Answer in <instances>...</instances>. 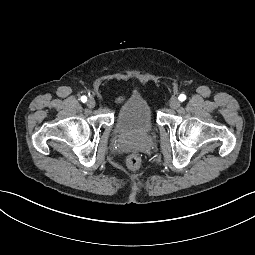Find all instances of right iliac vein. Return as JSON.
<instances>
[{
  "mask_svg": "<svg viewBox=\"0 0 255 255\" xmlns=\"http://www.w3.org/2000/svg\"><path fill=\"white\" fill-rule=\"evenodd\" d=\"M95 105H96V101H95L93 98H90V99L88 100V102H87V106H88L89 108H94Z\"/></svg>",
  "mask_w": 255,
  "mask_h": 255,
  "instance_id": "1",
  "label": "right iliac vein"
}]
</instances>
